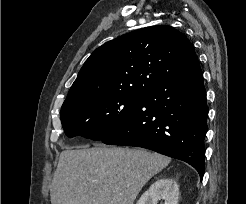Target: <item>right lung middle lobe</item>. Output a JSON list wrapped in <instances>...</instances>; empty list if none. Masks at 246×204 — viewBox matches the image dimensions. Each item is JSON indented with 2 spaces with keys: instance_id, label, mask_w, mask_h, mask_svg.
<instances>
[{
  "instance_id": "obj_1",
  "label": "right lung middle lobe",
  "mask_w": 246,
  "mask_h": 204,
  "mask_svg": "<svg viewBox=\"0 0 246 204\" xmlns=\"http://www.w3.org/2000/svg\"><path fill=\"white\" fill-rule=\"evenodd\" d=\"M139 93H117L93 97L61 109V122L68 137L81 135L101 140L119 128L130 115Z\"/></svg>"
}]
</instances>
